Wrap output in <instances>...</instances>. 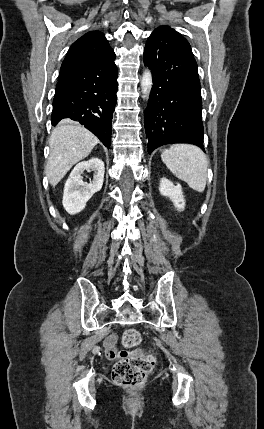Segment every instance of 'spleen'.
Instances as JSON below:
<instances>
[{
  "label": "spleen",
  "mask_w": 264,
  "mask_h": 429,
  "mask_svg": "<svg viewBox=\"0 0 264 429\" xmlns=\"http://www.w3.org/2000/svg\"><path fill=\"white\" fill-rule=\"evenodd\" d=\"M167 168L190 188L203 192L207 182L208 162L204 152L191 144H174L161 154Z\"/></svg>",
  "instance_id": "3e777b00"
}]
</instances>
